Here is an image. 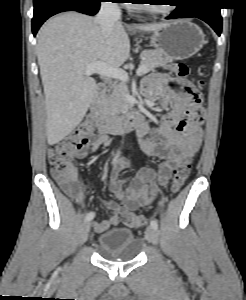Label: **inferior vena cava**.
<instances>
[{"instance_id":"obj_1","label":"inferior vena cava","mask_w":246,"mask_h":300,"mask_svg":"<svg viewBox=\"0 0 246 300\" xmlns=\"http://www.w3.org/2000/svg\"><path fill=\"white\" fill-rule=\"evenodd\" d=\"M121 18V11L117 3L103 2L98 12L95 22L101 27L104 37L110 36L113 26Z\"/></svg>"}]
</instances>
